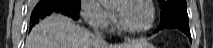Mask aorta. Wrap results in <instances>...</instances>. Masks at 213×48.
<instances>
[{
  "label": "aorta",
  "mask_w": 213,
  "mask_h": 48,
  "mask_svg": "<svg viewBox=\"0 0 213 48\" xmlns=\"http://www.w3.org/2000/svg\"><path fill=\"white\" fill-rule=\"evenodd\" d=\"M102 4H110L113 3L114 0H100Z\"/></svg>",
  "instance_id": "obj_1"
}]
</instances>
